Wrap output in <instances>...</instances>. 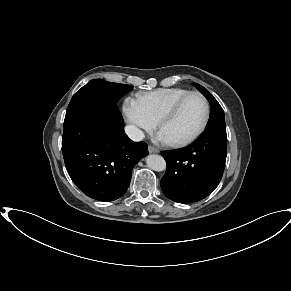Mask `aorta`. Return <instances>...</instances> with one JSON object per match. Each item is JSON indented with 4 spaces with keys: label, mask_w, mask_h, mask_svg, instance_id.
<instances>
[{
    "label": "aorta",
    "mask_w": 291,
    "mask_h": 291,
    "mask_svg": "<svg viewBox=\"0 0 291 291\" xmlns=\"http://www.w3.org/2000/svg\"><path fill=\"white\" fill-rule=\"evenodd\" d=\"M147 166L154 171H164L166 169V161L160 155H148L146 158Z\"/></svg>",
    "instance_id": "aorta-1"
}]
</instances>
